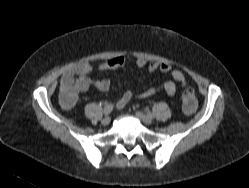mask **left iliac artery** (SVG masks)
<instances>
[{"label":"left iliac artery","instance_id":"left-iliac-artery-1","mask_svg":"<svg viewBox=\"0 0 249 188\" xmlns=\"http://www.w3.org/2000/svg\"><path fill=\"white\" fill-rule=\"evenodd\" d=\"M147 115L150 116V117L153 116V114L150 111H147Z\"/></svg>","mask_w":249,"mask_h":188}]
</instances>
